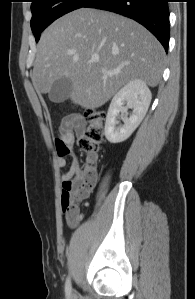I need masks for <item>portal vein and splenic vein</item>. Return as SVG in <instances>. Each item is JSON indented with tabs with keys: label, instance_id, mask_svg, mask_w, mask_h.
I'll use <instances>...</instances> for the list:
<instances>
[{
	"label": "portal vein and splenic vein",
	"instance_id": "portal-vein-and-splenic-vein-1",
	"mask_svg": "<svg viewBox=\"0 0 195 299\" xmlns=\"http://www.w3.org/2000/svg\"><path fill=\"white\" fill-rule=\"evenodd\" d=\"M98 60H99L98 56L92 57V62H98Z\"/></svg>",
	"mask_w": 195,
	"mask_h": 299
}]
</instances>
